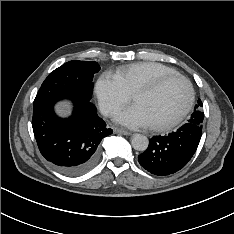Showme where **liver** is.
I'll return each instance as SVG.
<instances>
[{"label":"liver","instance_id":"6515ba94","mask_svg":"<svg viewBox=\"0 0 234 234\" xmlns=\"http://www.w3.org/2000/svg\"><path fill=\"white\" fill-rule=\"evenodd\" d=\"M59 112L62 113V114H65V113L67 112L66 107H65V106H61V107L59 108Z\"/></svg>","mask_w":234,"mask_h":234}]
</instances>
